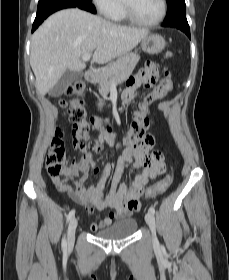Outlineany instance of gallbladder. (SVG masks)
<instances>
[{"label":"gallbladder","instance_id":"bac80fb5","mask_svg":"<svg viewBox=\"0 0 229 280\" xmlns=\"http://www.w3.org/2000/svg\"><path fill=\"white\" fill-rule=\"evenodd\" d=\"M82 76L79 71L66 70L58 83L49 91V94L53 97H58L71 85Z\"/></svg>","mask_w":229,"mask_h":280}]
</instances>
